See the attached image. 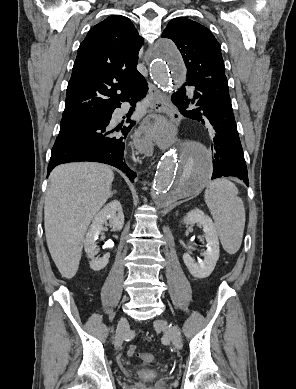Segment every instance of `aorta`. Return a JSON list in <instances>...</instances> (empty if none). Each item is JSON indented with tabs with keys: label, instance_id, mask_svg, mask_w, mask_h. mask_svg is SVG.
<instances>
[{
	"label": "aorta",
	"instance_id": "obj_1",
	"mask_svg": "<svg viewBox=\"0 0 296 389\" xmlns=\"http://www.w3.org/2000/svg\"><path fill=\"white\" fill-rule=\"evenodd\" d=\"M155 57L150 66L151 77L164 91H170L171 80L176 88L185 85L186 69L175 44L166 39L157 41ZM180 148L167 152L158 164L153 183L157 207H164L178 198L195 194L213 172L208 149L198 146L195 139H183Z\"/></svg>",
	"mask_w": 296,
	"mask_h": 389
}]
</instances>
